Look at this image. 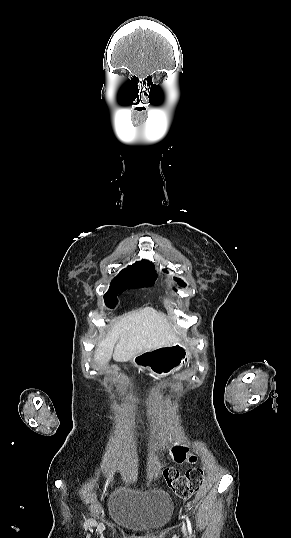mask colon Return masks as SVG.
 <instances>
[{"instance_id": "obj_1", "label": "colon", "mask_w": 291, "mask_h": 538, "mask_svg": "<svg viewBox=\"0 0 291 538\" xmlns=\"http://www.w3.org/2000/svg\"><path fill=\"white\" fill-rule=\"evenodd\" d=\"M174 458L178 462L183 461L186 458L185 448H176ZM164 477L168 486L177 496L188 498L200 488L203 483L204 474L202 469L196 468L188 470L184 475L174 469H166Z\"/></svg>"}]
</instances>
